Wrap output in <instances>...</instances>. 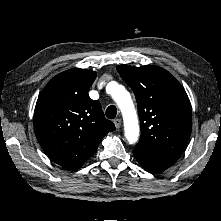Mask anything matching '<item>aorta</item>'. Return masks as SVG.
Returning a JSON list of instances; mask_svg holds the SVG:
<instances>
[{
  "mask_svg": "<svg viewBox=\"0 0 221 221\" xmlns=\"http://www.w3.org/2000/svg\"><path fill=\"white\" fill-rule=\"evenodd\" d=\"M119 88L117 86L116 90ZM113 98L123 112L125 118V137L130 144L137 142L139 137V125L133 108L130 95L126 90L113 93Z\"/></svg>",
  "mask_w": 221,
  "mask_h": 221,
  "instance_id": "762f6f07",
  "label": "aorta"
}]
</instances>
